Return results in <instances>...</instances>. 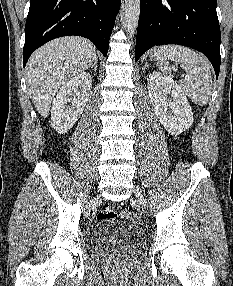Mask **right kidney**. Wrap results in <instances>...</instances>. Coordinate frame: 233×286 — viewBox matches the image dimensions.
Listing matches in <instances>:
<instances>
[{"label": "right kidney", "instance_id": "ca27d5eb", "mask_svg": "<svg viewBox=\"0 0 233 286\" xmlns=\"http://www.w3.org/2000/svg\"><path fill=\"white\" fill-rule=\"evenodd\" d=\"M91 87V75L81 72L59 89L51 108V125L58 133L68 132L76 123L88 101ZM73 93L76 97H72Z\"/></svg>", "mask_w": 233, "mask_h": 286}]
</instances>
